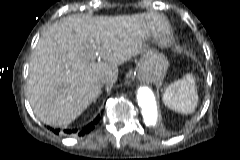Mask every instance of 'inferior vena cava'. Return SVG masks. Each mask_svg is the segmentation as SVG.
Returning <instances> with one entry per match:
<instances>
[{
  "mask_svg": "<svg viewBox=\"0 0 240 160\" xmlns=\"http://www.w3.org/2000/svg\"><path fill=\"white\" fill-rule=\"evenodd\" d=\"M108 81H109V78H108V77L102 79V83H103V84L106 83V82H108Z\"/></svg>",
  "mask_w": 240,
  "mask_h": 160,
  "instance_id": "602c4592",
  "label": "inferior vena cava"
}]
</instances>
